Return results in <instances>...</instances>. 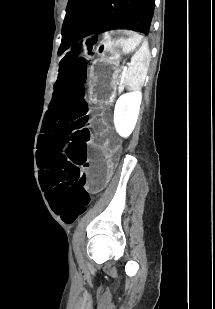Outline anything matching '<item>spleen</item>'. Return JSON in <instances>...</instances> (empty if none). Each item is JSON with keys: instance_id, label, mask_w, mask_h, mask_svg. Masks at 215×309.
Instances as JSON below:
<instances>
[{"instance_id": "spleen-1", "label": "spleen", "mask_w": 215, "mask_h": 309, "mask_svg": "<svg viewBox=\"0 0 215 309\" xmlns=\"http://www.w3.org/2000/svg\"><path fill=\"white\" fill-rule=\"evenodd\" d=\"M150 62V52L147 40H144L139 50L133 54L131 64L126 70L127 84L130 90H139L146 78Z\"/></svg>"}]
</instances>
